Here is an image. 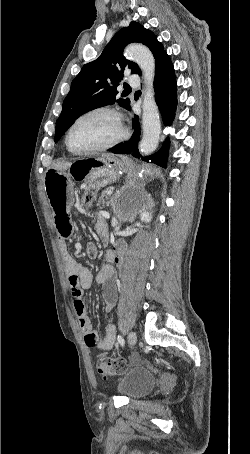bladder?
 Listing matches in <instances>:
<instances>
[{"instance_id":"bladder-1","label":"bladder","mask_w":250,"mask_h":454,"mask_svg":"<svg viewBox=\"0 0 250 454\" xmlns=\"http://www.w3.org/2000/svg\"><path fill=\"white\" fill-rule=\"evenodd\" d=\"M155 385L154 374L143 367L132 368L116 382V390L129 399L147 395Z\"/></svg>"}]
</instances>
